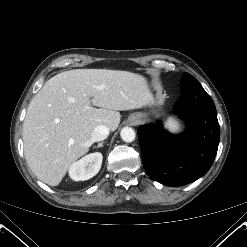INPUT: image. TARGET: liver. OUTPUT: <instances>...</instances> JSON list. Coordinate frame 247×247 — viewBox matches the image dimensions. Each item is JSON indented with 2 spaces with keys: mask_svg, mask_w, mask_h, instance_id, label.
<instances>
[{
  "mask_svg": "<svg viewBox=\"0 0 247 247\" xmlns=\"http://www.w3.org/2000/svg\"><path fill=\"white\" fill-rule=\"evenodd\" d=\"M151 98L147 80L128 71L74 69L55 75L26 112L22 136L30 169L42 182L57 186L89 151L96 126L115 131L119 111L142 108Z\"/></svg>",
  "mask_w": 247,
  "mask_h": 247,
  "instance_id": "6515ba94",
  "label": "liver"
}]
</instances>
